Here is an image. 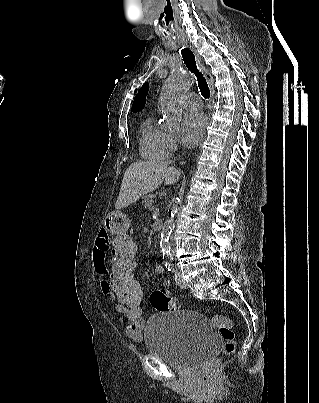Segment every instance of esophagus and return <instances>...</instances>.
<instances>
[{"label":"esophagus","instance_id":"1","mask_svg":"<svg viewBox=\"0 0 319 403\" xmlns=\"http://www.w3.org/2000/svg\"><path fill=\"white\" fill-rule=\"evenodd\" d=\"M190 48H191L192 52L194 53V55L196 57V61H197V64H198L200 70L204 73V75H205V77L207 79V82H208V85H209V88H210V94H211L210 103H212L213 99H214V94H215V87H214L213 77L210 74L209 70L203 65V63L201 61V58H200L199 54L197 53V51L191 46H190Z\"/></svg>","mask_w":319,"mask_h":403}]
</instances>
